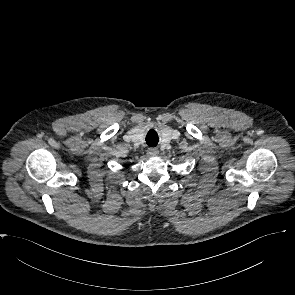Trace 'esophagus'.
Masks as SVG:
<instances>
[{"label": "esophagus", "mask_w": 295, "mask_h": 295, "mask_svg": "<svg viewBox=\"0 0 295 295\" xmlns=\"http://www.w3.org/2000/svg\"><path fill=\"white\" fill-rule=\"evenodd\" d=\"M159 151L157 148H149L147 151L148 156H156L158 155Z\"/></svg>", "instance_id": "1"}]
</instances>
